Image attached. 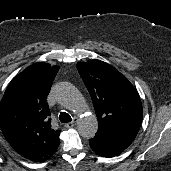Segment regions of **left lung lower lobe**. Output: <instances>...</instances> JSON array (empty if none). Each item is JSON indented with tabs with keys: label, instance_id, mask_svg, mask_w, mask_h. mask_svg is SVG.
Listing matches in <instances>:
<instances>
[{
	"label": "left lung lower lobe",
	"instance_id": "1",
	"mask_svg": "<svg viewBox=\"0 0 171 171\" xmlns=\"http://www.w3.org/2000/svg\"><path fill=\"white\" fill-rule=\"evenodd\" d=\"M90 146L94 152H96L100 156L104 157H114L119 155L122 150L119 147L111 145L105 141H102L96 137L89 140Z\"/></svg>",
	"mask_w": 171,
	"mask_h": 171
}]
</instances>
